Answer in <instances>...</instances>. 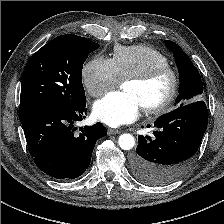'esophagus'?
Returning a JSON list of instances; mask_svg holds the SVG:
<instances>
[{"label": "esophagus", "mask_w": 224, "mask_h": 224, "mask_svg": "<svg viewBox=\"0 0 224 224\" xmlns=\"http://www.w3.org/2000/svg\"><path fill=\"white\" fill-rule=\"evenodd\" d=\"M121 131L117 129H108V135H114V134H119Z\"/></svg>", "instance_id": "obj_1"}]
</instances>
